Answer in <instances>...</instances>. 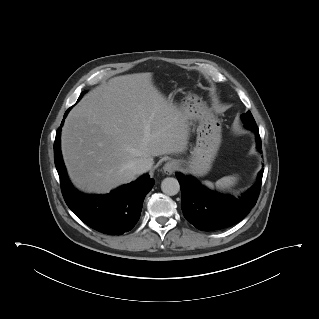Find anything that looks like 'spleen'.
Segmentation results:
<instances>
[{
	"mask_svg": "<svg viewBox=\"0 0 319 319\" xmlns=\"http://www.w3.org/2000/svg\"><path fill=\"white\" fill-rule=\"evenodd\" d=\"M238 177L235 175L225 176L216 181V183H212L211 181H203V184L209 189H214V186L219 190H224L230 188L237 182Z\"/></svg>",
	"mask_w": 319,
	"mask_h": 319,
	"instance_id": "1",
	"label": "spleen"
}]
</instances>
